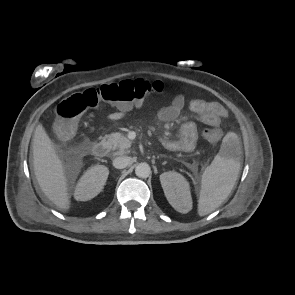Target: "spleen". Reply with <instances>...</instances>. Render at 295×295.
<instances>
[{
	"label": "spleen",
	"mask_w": 295,
	"mask_h": 295,
	"mask_svg": "<svg viewBox=\"0 0 295 295\" xmlns=\"http://www.w3.org/2000/svg\"><path fill=\"white\" fill-rule=\"evenodd\" d=\"M239 140L229 132L223 138L219 153L204 170L198 200V214L205 216L218 208L232 191L240 171Z\"/></svg>",
	"instance_id": "3e777b00"
}]
</instances>
